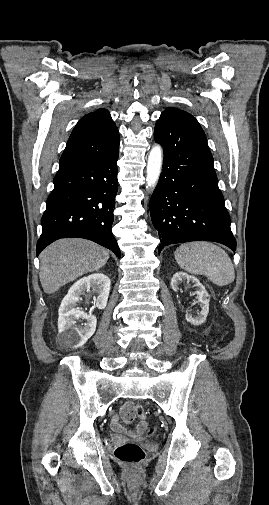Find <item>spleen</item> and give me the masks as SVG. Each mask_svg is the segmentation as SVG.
<instances>
[{
	"label": "spleen",
	"mask_w": 269,
	"mask_h": 505,
	"mask_svg": "<svg viewBox=\"0 0 269 505\" xmlns=\"http://www.w3.org/2000/svg\"><path fill=\"white\" fill-rule=\"evenodd\" d=\"M174 256L180 268L194 275H205L217 286H226L235 279L229 255L211 242L184 243L176 249Z\"/></svg>",
	"instance_id": "1"
}]
</instances>
